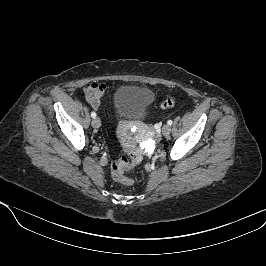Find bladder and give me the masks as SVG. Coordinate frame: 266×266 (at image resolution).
Returning a JSON list of instances; mask_svg holds the SVG:
<instances>
[{
  "mask_svg": "<svg viewBox=\"0 0 266 266\" xmlns=\"http://www.w3.org/2000/svg\"><path fill=\"white\" fill-rule=\"evenodd\" d=\"M153 99V93L147 88L120 86L113 96L115 113L119 118H142L148 112Z\"/></svg>",
  "mask_w": 266,
  "mask_h": 266,
  "instance_id": "31cf9c89",
  "label": "bladder"
}]
</instances>
